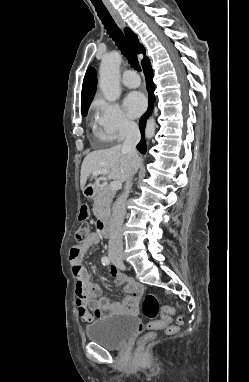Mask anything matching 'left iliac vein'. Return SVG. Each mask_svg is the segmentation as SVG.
<instances>
[{
    "label": "left iliac vein",
    "instance_id": "1",
    "mask_svg": "<svg viewBox=\"0 0 249 382\" xmlns=\"http://www.w3.org/2000/svg\"><path fill=\"white\" fill-rule=\"evenodd\" d=\"M115 266L121 270H124L125 269V266L122 264V263H114Z\"/></svg>",
    "mask_w": 249,
    "mask_h": 382
}]
</instances>
